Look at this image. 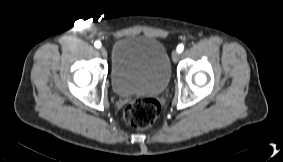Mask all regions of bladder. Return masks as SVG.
<instances>
[{"instance_id": "1", "label": "bladder", "mask_w": 283, "mask_h": 162, "mask_svg": "<svg viewBox=\"0 0 283 162\" xmlns=\"http://www.w3.org/2000/svg\"><path fill=\"white\" fill-rule=\"evenodd\" d=\"M170 76L169 55L158 39L129 35L114 43L110 79L118 96L159 95L167 88Z\"/></svg>"}]
</instances>
